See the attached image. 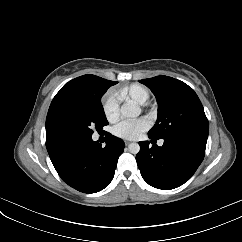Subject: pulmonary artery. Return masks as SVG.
I'll list each match as a JSON object with an SVG mask.
<instances>
[{"mask_svg":"<svg viewBox=\"0 0 242 242\" xmlns=\"http://www.w3.org/2000/svg\"><path fill=\"white\" fill-rule=\"evenodd\" d=\"M158 144H159L160 146H161V145H163V141H162V140H161V141H159V143H158Z\"/></svg>","mask_w":242,"mask_h":242,"instance_id":"e3ab8cb5","label":"pulmonary artery"}]
</instances>
